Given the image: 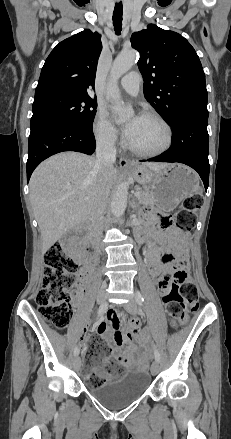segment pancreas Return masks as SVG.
<instances>
[{
    "label": "pancreas",
    "mask_w": 231,
    "mask_h": 439,
    "mask_svg": "<svg viewBox=\"0 0 231 439\" xmlns=\"http://www.w3.org/2000/svg\"><path fill=\"white\" fill-rule=\"evenodd\" d=\"M138 192L140 193L138 200L141 204H154L155 199L148 190L139 189Z\"/></svg>",
    "instance_id": "pancreas-1"
}]
</instances>
